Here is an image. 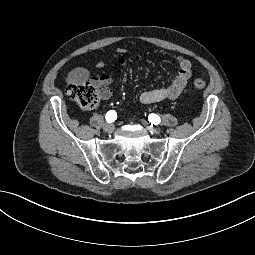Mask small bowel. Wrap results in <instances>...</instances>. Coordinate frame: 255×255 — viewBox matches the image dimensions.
<instances>
[{
  "label": "small bowel",
  "instance_id": "c3829d8e",
  "mask_svg": "<svg viewBox=\"0 0 255 255\" xmlns=\"http://www.w3.org/2000/svg\"><path fill=\"white\" fill-rule=\"evenodd\" d=\"M116 52L119 57L117 59V67L113 72L92 76L89 69L77 67L69 72L67 77L68 83L84 84L86 82H91L96 88H98L101 98L108 99L111 96L110 85L113 83L115 77L121 74L126 68V61L122 57L126 53V49L119 48ZM175 61L178 65V71L175 73L171 83L153 90L141 92L138 95V100L141 103L152 104L165 100H174L181 95L192 74L191 62L180 55L175 57ZM103 67L104 61L102 60L96 64L97 69H101Z\"/></svg>",
  "mask_w": 255,
  "mask_h": 255
}]
</instances>
